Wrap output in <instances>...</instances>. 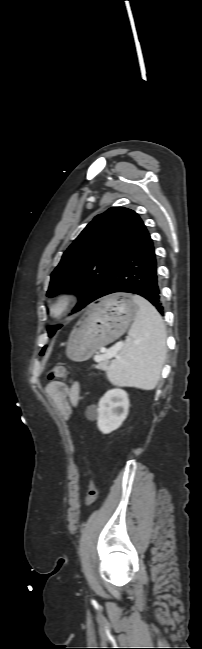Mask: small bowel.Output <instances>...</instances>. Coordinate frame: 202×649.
I'll use <instances>...</instances> for the list:
<instances>
[{
	"mask_svg": "<svg viewBox=\"0 0 202 649\" xmlns=\"http://www.w3.org/2000/svg\"><path fill=\"white\" fill-rule=\"evenodd\" d=\"M46 392L51 400L52 406L64 419H68L72 407L79 400V383L74 382L71 387L60 381H51L46 386Z\"/></svg>",
	"mask_w": 202,
	"mask_h": 649,
	"instance_id": "obj_1",
	"label": "small bowel"
}]
</instances>
